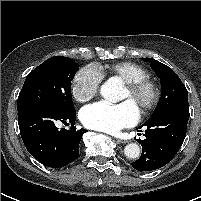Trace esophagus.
Listing matches in <instances>:
<instances>
[{"instance_id":"esophagus-1","label":"esophagus","mask_w":201,"mask_h":201,"mask_svg":"<svg viewBox=\"0 0 201 201\" xmlns=\"http://www.w3.org/2000/svg\"><path fill=\"white\" fill-rule=\"evenodd\" d=\"M117 142H118V143H127L128 141H127V140H124V139H120V138H119V139H117Z\"/></svg>"}]
</instances>
